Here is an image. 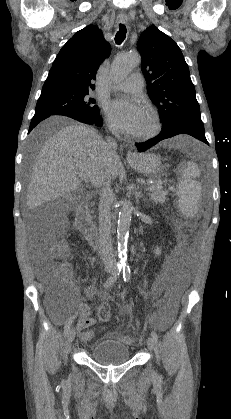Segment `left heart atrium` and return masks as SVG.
Listing matches in <instances>:
<instances>
[{
    "label": "left heart atrium",
    "mask_w": 231,
    "mask_h": 419,
    "mask_svg": "<svg viewBox=\"0 0 231 419\" xmlns=\"http://www.w3.org/2000/svg\"><path fill=\"white\" fill-rule=\"evenodd\" d=\"M109 115L122 130L137 134L145 117L144 108L136 101L116 100L109 105Z\"/></svg>",
    "instance_id": "left-heart-atrium-1"
}]
</instances>
